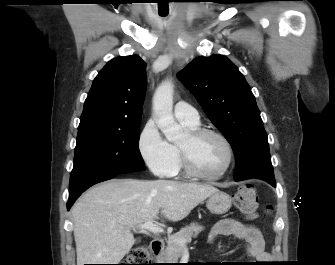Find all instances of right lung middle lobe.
<instances>
[{"label": "right lung middle lobe", "mask_w": 335, "mask_h": 265, "mask_svg": "<svg viewBox=\"0 0 335 265\" xmlns=\"http://www.w3.org/2000/svg\"><path fill=\"white\" fill-rule=\"evenodd\" d=\"M140 121L121 128L78 131L70 185L98 173L145 170L139 151Z\"/></svg>", "instance_id": "dd1d6c3e"}]
</instances>
